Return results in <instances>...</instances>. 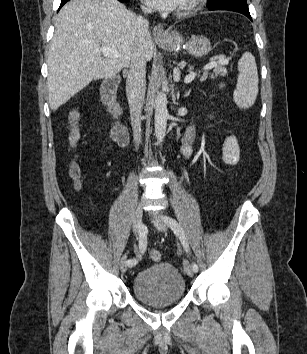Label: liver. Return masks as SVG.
<instances>
[{"label": "liver", "mask_w": 307, "mask_h": 354, "mask_svg": "<svg viewBox=\"0 0 307 354\" xmlns=\"http://www.w3.org/2000/svg\"><path fill=\"white\" fill-rule=\"evenodd\" d=\"M137 17L117 0H70L59 11L49 45V106L57 110L91 81L115 76L130 66L138 45ZM116 49L119 58L102 57L100 48ZM143 52L154 54L150 33Z\"/></svg>", "instance_id": "1"}]
</instances>
